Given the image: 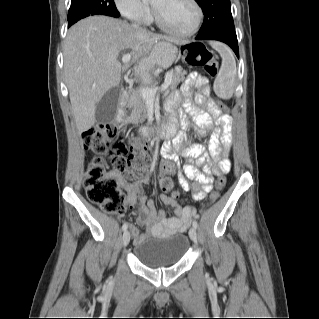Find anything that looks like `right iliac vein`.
<instances>
[{
	"label": "right iliac vein",
	"instance_id": "63e3f726",
	"mask_svg": "<svg viewBox=\"0 0 319 319\" xmlns=\"http://www.w3.org/2000/svg\"><path fill=\"white\" fill-rule=\"evenodd\" d=\"M130 238H131L130 232L129 231H125L123 233V236H122V245H123V247H126L129 244Z\"/></svg>",
	"mask_w": 319,
	"mask_h": 319
}]
</instances>
